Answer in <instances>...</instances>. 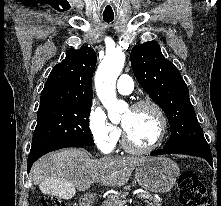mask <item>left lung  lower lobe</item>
<instances>
[{"label": "left lung lower lobe", "mask_w": 221, "mask_h": 206, "mask_svg": "<svg viewBox=\"0 0 221 206\" xmlns=\"http://www.w3.org/2000/svg\"><path fill=\"white\" fill-rule=\"evenodd\" d=\"M170 153H181V154H188L193 156H198L206 159L211 166L212 163V155L210 149H197V148H182V149H170V148H163L159 150H155L150 155H162V154H170Z\"/></svg>", "instance_id": "0a47b994"}]
</instances>
